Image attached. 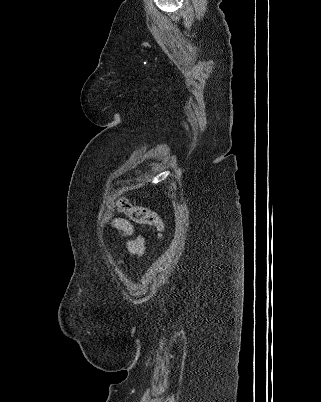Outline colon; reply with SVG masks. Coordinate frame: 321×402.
I'll return each mask as SVG.
<instances>
[{
    "mask_svg": "<svg viewBox=\"0 0 321 402\" xmlns=\"http://www.w3.org/2000/svg\"><path fill=\"white\" fill-rule=\"evenodd\" d=\"M114 207L117 211L127 215L133 222L153 227L160 235L165 231L162 218L151 209L136 206L126 198L117 199Z\"/></svg>",
    "mask_w": 321,
    "mask_h": 402,
    "instance_id": "5ec220e1",
    "label": "colon"
}]
</instances>
